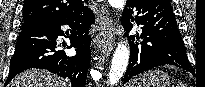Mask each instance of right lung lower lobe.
<instances>
[{"mask_svg":"<svg viewBox=\"0 0 205 87\" xmlns=\"http://www.w3.org/2000/svg\"><path fill=\"white\" fill-rule=\"evenodd\" d=\"M94 21L91 9L84 7L65 19L22 29L5 85L20 72L39 68L69 79L73 87H85L91 59L88 30ZM62 25H69L71 33L62 31ZM66 35L70 39L69 48L77 51L76 56L68 57L64 50L56 48V39Z\"/></svg>","mask_w":205,"mask_h":87,"instance_id":"right-lung-lower-lobe-1","label":"right lung lower lobe"}]
</instances>
